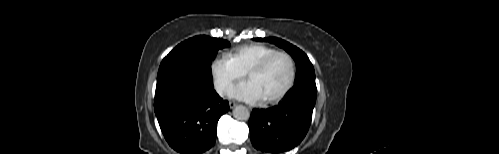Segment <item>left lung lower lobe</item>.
Masks as SVG:
<instances>
[{"label":"left lung lower lobe","instance_id":"1","mask_svg":"<svg viewBox=\"0 0 499 154\" xmlns=\"http://www.w3.org/2000/svg\"><path fill=\"white\" fill-rule=\"evenodd\" d=\"M316 94L315 82L295 84L278 105L254 109L249 120L253 146L270 153L297 146L308 132Z\"/></svg>","mask_w":499,"mask_h":154}]
</instances>
